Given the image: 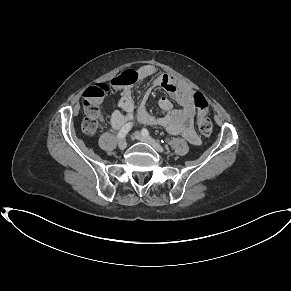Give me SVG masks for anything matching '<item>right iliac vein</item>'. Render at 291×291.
<instances>
[{"instance_id": "right-iliac-vein-1", "label": "right iliac vein", "mask_w": 291, "mask_h": 291, "mask_svg": "<svg viewBox=\"0 0 291 291\" xmlns=\"http://www.w3.org/2000/svg\"><path fill=\"white\" fill-rule=\"evenodd\" d=\"M119 149L124 150L127 147V141L126 139H121L118 143Z\"/></svg>"}]
</instances>
